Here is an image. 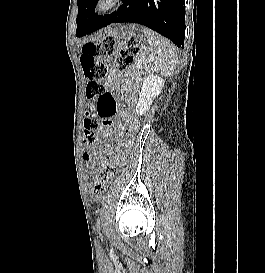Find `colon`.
Returning a JSON list of instances; mask_svg holds the SVG:
<instances>
[{
  "label": "colon",
  "mask_w": 265,
  "mask_h": 273,
  "mask_svg": "<svg viewBox=\"0 0 265 273\" xmlns=\"http://www.w3.org/2000/svg\"><path fill=\"white\" fill-rule=\"evenodd\" d=\"M115 52L116 40L112 35H106L97 45L89 44L82 49L81 64L87 78L86 95L89 101L84 119V133L90 140L89 146L94 149L93 152L85 153V158L93 159V173L99 180L93 188V195H99L102 192L105 182L114 170L110 159L101 152L109 151L107 128L112 123L117 106L113 95L104 87L107 66L100 58ZM138 52V40L132 37L117 51L118 69L129 68L134 63Z\"/></svg>",
  "instance_id": "5ec220e1"
}]
</instances>
